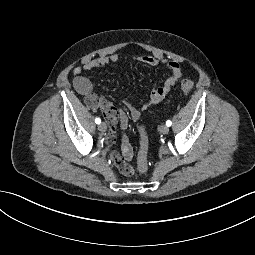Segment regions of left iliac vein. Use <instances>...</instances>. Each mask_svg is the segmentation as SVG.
<instances>
[{
    "label": "left iliac vein",
    "instance_id": "1",
    "mask_svg": "<svg viewBox=\"0 0 255 255\" xmlns=\"http://www.w3.org/2000/svg\"><path fill=\"white\" fill-rule=\"evenodd\" d=\"M159 131L162 133V134H167L169 132V127L165 124L161 125L159 127Z\"/></svg>",
    "mask_w": 255,
    "mask_h": 255
}]
</instances>
